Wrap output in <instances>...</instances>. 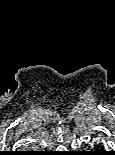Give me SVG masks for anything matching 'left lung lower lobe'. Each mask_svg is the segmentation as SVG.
I'll list each match as a JSON object with an SVG mask.
<instances>
[{"label": "left lung lower lobe", "mask_w": 115, "mask_h": 155, "mask_svg": "<svg viewBox=\"0 0 115 155\" xmlns=\"http://www.w3.org/2000/svg\"><path fill=\"white\" fill-rule=\"evenodd\" d=\"M96 150H97L96 152L89 155H115V154H112V152L105 151L102 143H100L99 145H96Z\"/></svg>", "instance_id": "left-lung-lower-lobe-1"}]
</instances>
